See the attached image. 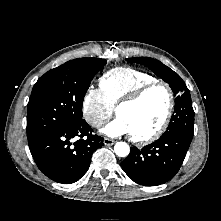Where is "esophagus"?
Here are the masks:
<instances>
[{"label":"esophagus","mask_w":221,"mask_h":221,"mask_svg":"<svg viewBox=\"0 0 221 221\" xmlns=\"http://www.w3.org/2000/svg\"><path fill=\"white\" fill-rule=\"evenodd\" d=\"M103 143H104L105 145H107V146H111V145H113V144L115 143V141L112 140V139H109V138H104V139H103Z\"/></svg>","instance_id":"1"}]
</instances>
